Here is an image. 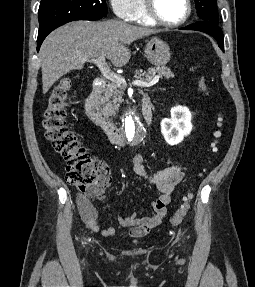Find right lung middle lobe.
Wrapping results in <instances>:
<instances>
[{
  "mask_svg": "<svg viewBox=\"0 0 255 287\" xmlns=\"http://www.w3.org/2000/svg\"><path fill=\"white\" fill-rule=\"evenodd\" d=\"M107 16L106 0H41L39 27L74 20H99Z\"/></svg>",
  "mask_w": 255,
  "mask_h": 287,
  "instance_id": "obj_1",
  "label": "right lung middle lobe"
}]
</instances>
